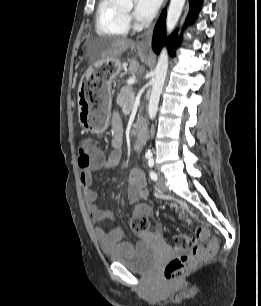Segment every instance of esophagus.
Returning a JSON list of instances; mask_svg holds the SVG:
<instances>
[{
  "label": "esophagus",
  "instance_id": "34e87169",
  "mask_svg": "<svg viewBox=\"0 0 261 306\" xmlns=\"http://www.w3.org/2000/svg\"><path fill=\"white\" fill-rule=\"evenodd\" d=\"M167 0H165L164 5L166 4ZM154 29V24L151 25L146 31H144L138 41V47L143 50H149L151 47L152 41V33Z\"/></svg>",
  "mask_w": 261,
  "mask_h": 306
}]
</instances>
